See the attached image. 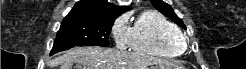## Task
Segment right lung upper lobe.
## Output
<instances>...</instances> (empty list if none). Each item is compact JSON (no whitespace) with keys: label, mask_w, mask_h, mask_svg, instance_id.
<instances>
[{"label":"right lung upper lobe","mask_w":246,"mask_h":69,"mask_svg":"<svg viewBox=\"0 0 246 69\" xmlns=\"http://www.w3.org/2000/svg\"><path fill=\"white\" fill-rule=\"evenodd\" d=\"M129 7H118L107 0H80L64 20H115Z\"/></svg>","instance_id":"obj_1"}]
</instances>
